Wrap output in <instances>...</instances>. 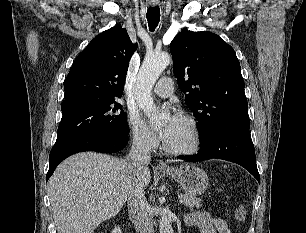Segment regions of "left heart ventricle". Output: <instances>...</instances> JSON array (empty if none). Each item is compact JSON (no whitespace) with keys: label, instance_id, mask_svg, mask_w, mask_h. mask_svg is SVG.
<instances>
[{"label":"left heart ventricle","instance_id":"obj_1","mask_svg":"<svg viewBox=\"0 0 306 233\" xmlns=\"http://www.w3.org/2000/svg\"><path fill=\"white\" fill-rule=\"evenodd\" d=\"M165 143L173 149H185L193 143V133L189 124L180 118L177 126Z\"/></svg>","mask_w":306,"mask_h":233}]
</instances>
